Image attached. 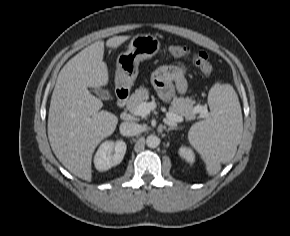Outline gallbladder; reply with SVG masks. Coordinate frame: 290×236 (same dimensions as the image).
<instances>
[{
  "label": "gallbladder",
  "mask_w": 290,
  "mask_h": 236,
  "mask_svg": "<svg viewBox=\"0 0 290 236\" xmlns=\"http://www.w3.org/2000/svg\"><path fill=\"white\" fill-rule=\"evenodd\" d=\"M93 91L101 98V99H107L109 97V94L107 91H105L102 88H93Z\"/></svg>",
  "instance_id": "1"
}]
</instances>
